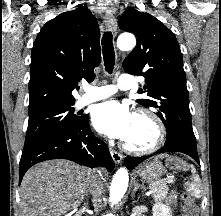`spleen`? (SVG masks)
I'll list each match as a JSON object with an SVG mask.
<instances>
[{
    "label": "spleen",
    "mask_w": 221,
    "mask_h": 216,
    "mask_svg": "<svg viewBox=\"0 0 221 216\" xmlns=\"http://www.w3.org/2000/svg\"><path fill=\"white\" fill-rule=\"evenodd\" d=\"M192 168V179L193 182L191 184H189V191L196 197L199 198L200 197V178L198 175H196V171L195 168L193 166H191Z\"/></svg>",
    "instance_id": "obj_1"
}]
</instances>
